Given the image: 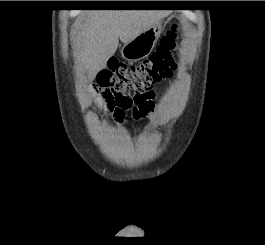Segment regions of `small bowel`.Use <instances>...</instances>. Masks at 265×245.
I'll use <instances>...</instances> for the list:
<instances>
[{"label": "small bowel", "mask_w": 265, "mask_h": 245, "mask_svg": "<svg viewBox=\"0 0 265 245\" xmlns=\"http://www.w3.org/2000/svg\"><path fill=\"white\" fill-rule=\"evenodd\" d=\"M100 88L97 86V87H94V90L91 92V95L93 97H97V98H100L101 99V96H100ZM146 112H148V118L149 119H156L157 118V114L155 112V106L154 104H152L150 107H148L146 109Z\"/></svg>", "instance_id": "small-bowel-1"}]
</instances>
